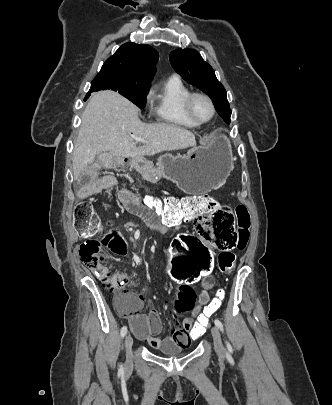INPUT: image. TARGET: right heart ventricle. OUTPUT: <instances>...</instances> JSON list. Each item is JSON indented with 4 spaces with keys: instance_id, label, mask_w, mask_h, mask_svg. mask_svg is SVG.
<instances>
[{
    "instance_id": "obj_1",
    "label": "right heart ventricle",
    "mask_w": 332,
    "mask_h": 405,
    "mask_svg": "<svg viewBox=\"0 0 332 405\" xmlns=\"http://www.w3.org/2000/svg\"><path fill=\"white\" fill-rule=\"evenodd\" d=\"M189 93V89L178 78L166 80L151 93L152 115L165 124L197 127L183 112V100Z\"/></svg>"
}]
</instances>
